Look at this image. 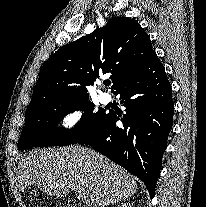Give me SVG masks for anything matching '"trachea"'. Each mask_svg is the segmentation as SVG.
I'll return each mask as SVG.
<instances>
[{"label": "trachea", "instance_id": "obj_1", "mask_svg": "<svg viewBox=\"0 0 206 207\" xmlns=\"http://www.w3.org/2000/svg\"><path fill=\"white\" fill-rule=\"evenodd\" d=\"M104 84H105L106 86H109V85L111 84V82H110V81H106Z\"/></svg>", "mask_w": 206, "mask_h": 207}]
</instances>
